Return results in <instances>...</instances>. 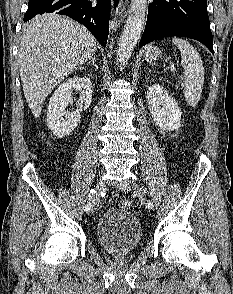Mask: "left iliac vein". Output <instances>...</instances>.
I'll return each instance as SVG.
<instances>
[{"mask_svg":"<svg viewBox=\"0 0 233 294\" xmlns=\"http://www.w3.org/2000/svg\"><path fill=\"white\" fill-rule=\"evenodd\" d=\"M119 188L124 191V192H128L131 190V187L129 186L128 183L126 182H122L120 185H119ZM133 191L134 193L136 194V198H139V202H140V205H141V208L142 209H145L146 208V205H145V202H146V197H143V193L142 191L140 190V188L137 186L136 183H133ZM150 209V208H149Z\"/></svg>","mask_w":233,"mask_h":294,"instance_id":"obj_1","label":"left iliac vein"}]
</instances>
